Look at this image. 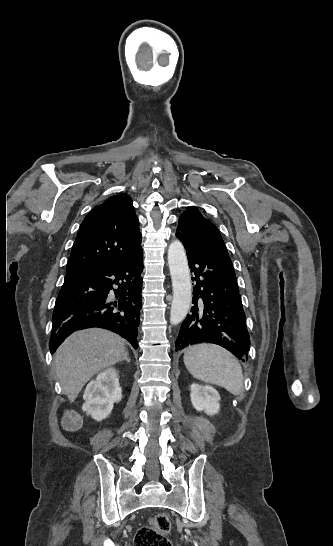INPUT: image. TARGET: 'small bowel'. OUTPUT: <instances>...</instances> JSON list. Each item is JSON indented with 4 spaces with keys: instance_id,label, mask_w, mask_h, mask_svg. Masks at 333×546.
Listing matches in <instances>:
<instances>
[{
    "instance_id": "1",
    "label": "small bowel",
    "mask_w": 333,
    "mask_h": 546,
    "mask_svg": "<svg viewBox=\"0 0 333 546\" xmlns=\"http://www.w3.org/2000/svg\"><path fill=\"white\" fill-rule=\"evenodd\" d=\"M78 419L76 417L68 416L64 420V426L67 429H73L75 425L77 424Z\"/></svg>"
}]
</instances>
